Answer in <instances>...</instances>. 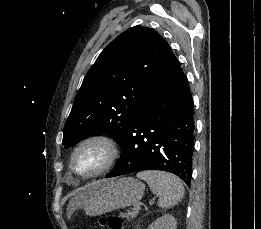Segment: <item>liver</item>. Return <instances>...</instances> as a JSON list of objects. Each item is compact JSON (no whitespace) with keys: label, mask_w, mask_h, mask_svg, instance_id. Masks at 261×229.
Masks as SVG:
<instances>
[{"label":"liver","mask_w":261,"mask_h":229,"mask_svg":"<svg viewBox=\"0 0 261 229\" xmlns=\"http://www.w3.org/2000/svg\"><path fill=\"white\" fill-rule=\"evenodd\" d=\"M85 199H87V191L86 187H82V189H77V191H74L73 199L70 205L73 207L77 201H85Z\"/></svg>","instance_id":"1"}]
</instances>
